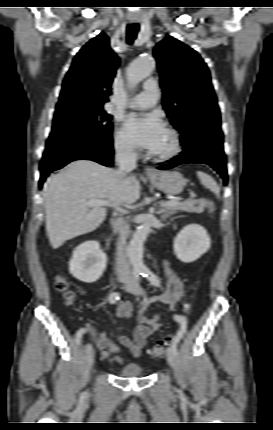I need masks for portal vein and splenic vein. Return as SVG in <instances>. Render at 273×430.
Wrapping results in <instances>:
<instances>
[{
  "mask_svg": "<svg viewBox=\"0 0 273 430\" xmlns=\"http://www.w3.org/2000/svg\"><path fill=\"white\" fill-rule=\"evenodd\" d=\"M178 204L177 200H171L167 202H161V206H175ZM87 205L90 207H99V206H111V204L106 200L101 199H91L87 202ZM118 211L126 213V210L117 208Z\"/></svg>",
  "mask_w": 273,
  "mask_h": 430,
  "instance_id": "1",
  "label": "portal vein and splenic vein"
}]
</instances>
